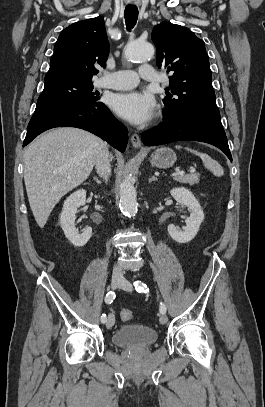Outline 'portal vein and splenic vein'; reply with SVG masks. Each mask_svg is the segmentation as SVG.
<instances>
[{"instance_id":"portal-vein-and-splenic-vein-1","label":"portal vein and splenic vein","mask_w":265,"mask_h":407,"mask_svg":"<svg viewBox=\"0 0 265 407\" xmlns=\"http://www.w3.org/2000/svg\"><path fill=\"white\" fill-rule=\"evenodd\" d=\"M194 171L195 170L193 168H191V172H194ZM182 174H184V171L177 170L175 173L172 174V176H177V175H182Z\"/></svg>"}]
</instances>
